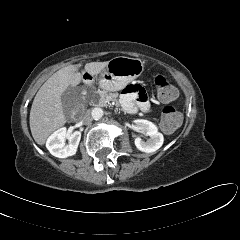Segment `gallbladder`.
Masks as SVG:
<instances>
[{"label": "gallbladder", "mask_w": 240, "mask_h": 240, "mask_svg": "<svg viewBox=\"0 0 240 240\" xmlns=\"http://www.w3.org/2000/svg\"><path fill=\"white\" fill-rule=\"evenodd\" d=\"M76 89L73 87H68V89L62 94L63 106L67 109L74 105L76 99Z\"/></svg>", "instance_id": "bac80fb5"}]
</instances>
